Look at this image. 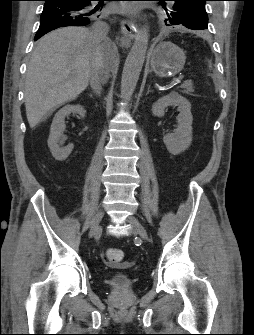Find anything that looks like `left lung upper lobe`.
<instances>
[{"instance_id": "5c2ea615", "label": "left lung upper lobe", "mask_w": 254, "mask_h": 335, "mask_svg": "<svg viewBox=\"0 0 254 335\" xmlns=\"http://www.w3.org/2000/svg\"><path fill=\"white\" fill-rule=\"evenodd\" d=\"M168 16L166 25L184 26L193 30L207 29L208 16L205 3L208 0H158Z\"/></svg>"}]
</instances>
